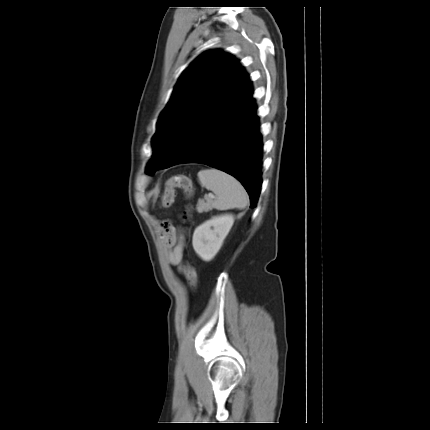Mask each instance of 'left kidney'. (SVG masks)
<instances>
[{
    "label": "left kidney",
    "instance_id": "obj_1",
    "mask_svg": "<svg viewBox=\"0 0 430 430\" xmlns=\"http://www.w3.org/2000/svg\"><path fill=\"white\" fill-rule=\"evenodd\" d=\"M234 223L232 214H220L199 225L193 234L192 245L203 261H211L219 252Z\"/></svg>",
    "mask_w": 430,
    "mask_h": 430
}]
</instances>
